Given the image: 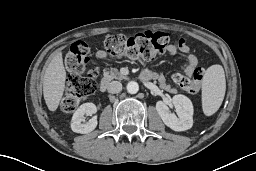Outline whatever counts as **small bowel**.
I'll return each mask as SVG.
<instances>
[{"mask_svg":"<svg viewBox=\"0 0 256 171\" xmlns=\"http://www.w3.org/2000/svg\"><path fill=\"white\" fill-rule=\"evenodd\" d=\"M167 51L170 55H177L185 60L182 69L185 74L191 75L197 67V57L192 53L190 47L183 39H177L172 44L168 45ZM107 53L103 50H99L95 53V59L101 60L107 58ZM93 69L96 74H100V67L96 62L93 63ZM143 80L155 79L166 90H170V86L167 84L163 75L157 74L151 71H144L141 75Z\"/></svg>","mask_w":256,"mask_h":171,"instance_id":"c3829d8e","label":"small bowel"}]
</instances>
